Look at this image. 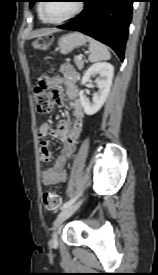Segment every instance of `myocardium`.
<instances>
[{
	"label": "myocardium",
	"instance_id": "myocardium-1",
	"mask_svg": "<svg viewBox=\"0 0 158 275\" xmlns=\"http://www.w3.org/2000/svg\"><path fill=\"white\" fill-rule=\"evenodd\" d=\"M45 2L46 1H43V3L40 4V7H39V11H40V15L42 17V19L46 22V23H49V24H61V23H64L66 21H69L71 19H73L74 17H76L77 15H79L82 10H83V7H84V3L82 0H78L77 1V5L74 9V11L69 14L68 16L60 19V20H56V21H53V20H50L48 19L45 14H44V5H45Z\"/></svg>",
	"mask_w": 158,
	"mask_h": 275
}]
</instances>
